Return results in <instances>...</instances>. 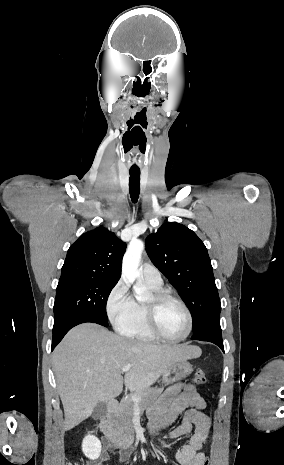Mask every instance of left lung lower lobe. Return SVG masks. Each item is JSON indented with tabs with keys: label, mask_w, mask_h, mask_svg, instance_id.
I'll return each instance as SVG.
<instances>
[{
	"label": "left lung lower lobe",
	"mask_w": 284,
	"mask_h": 465,
	"mask_svg": "<svg viewBox=\"0 0 284 465\" xmlns=\"http://www.w3.org/2000/svg\"><path fill=\"white\" fill-rule=\"evenodd\" d=\"M191 339L212 342L219 346L224 352L220 322L208 323L199 331L193 333Z\"/></svg>",
	"instance_id": "1"
}]
</instances>
